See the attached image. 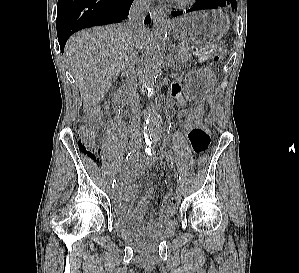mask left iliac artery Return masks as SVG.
Listing matches in <instances>:
<instances>
[{
	"mask_svg": "<svg viewBox=\"0 0 299 273\" xmlns=\"http://www.w3.org/2000/svg\"><path fill=\"white\" fill-rule=\"evenodd\" d=\"M145 152L148 155H152L154 153L153 149H152V142H147L146 144V148H145ZM175 179L179 182L181 180V177L179 174L175 173Z\"/></svg>",
	"mask_w": 299,
	"mask_h": 273,
	"instance_id": "44dca946",
	"label": "left iliac artery"
}]
</instances>
